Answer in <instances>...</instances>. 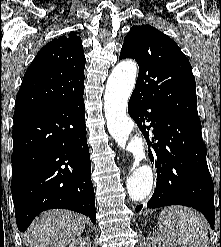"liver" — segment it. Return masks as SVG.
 <instances>
[{
  "label": "liver",
  "mask_w": 221,
  "mask_h": 247,
  "mask_svg": "<svg viewBox=\"0 0 221 247\" xmlns=\"http://www.w3.org/2000/svg\"><path fill=\"white\" fill-rule=\"evenodd\" d=\"M86 218L67 210H51L37 217L24 235L29 247H66L85 229Z\"/></svg>",
  "instance_id": "obj_1"
}]
</instances>
